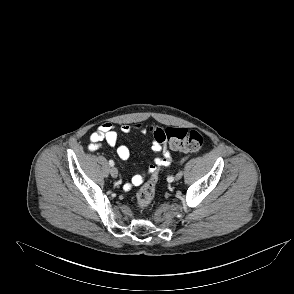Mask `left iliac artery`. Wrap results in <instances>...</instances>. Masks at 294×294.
Returning <instances> with one entry per match:
<instances>
[{"label":"left iliac artery","mask_w":294,"mask_h":294,"mask_svg":"<svg viewBox=\"0 0 294 294\" xmlns=\"http://www.w3.org/2000/svg\"><path fill=\"white\" fill-rule=\"evenodd\" d=\"M183 161H185V159H183ZM167 181L168 182H172L173 181V177L172 176H167Z\"/></svg>","instance_id":"obj_1"}]
</instances>
